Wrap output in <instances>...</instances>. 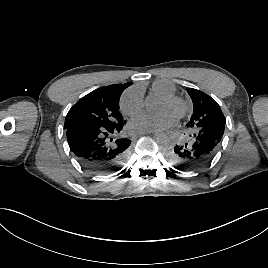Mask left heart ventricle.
<instances>
[{
  "mask_svg": "<svg viewBox=\"0 0 268 268\" xmlns=\"http://www.w3.org/2000/svg\"><path fill=\"white\" fill-rule=\"evenodd\" d=\"M158 110L160 112H171L174 113L176 115V107L169 105L168 103H166L165 101H162L159 105Z\"/></svg>",
  "mask_w": 268,
  "mask_h": 268,
  "instance_id": "left-heart-ventricle-1",
  "label": "left heart ventricle"
}]
</instances>
